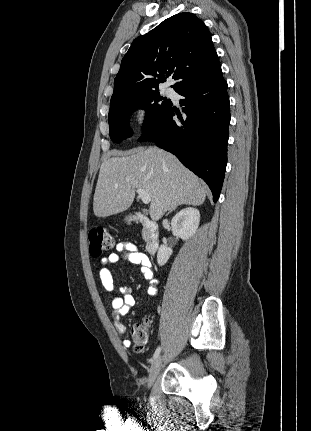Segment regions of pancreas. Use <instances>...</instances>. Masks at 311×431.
<instances>
[{"label":"pancreas","instance_id":"pancreas-1","mask_svg":"<svg viewBox=\"0 0 311 431\" xmlns=\"http://www.w3.org/2000/svg\"><path fill=\"white\" fill-rule=\"evenodd\" d=\"M142 237H143V239H145V241H148V239H149L147 229H145V227H143V229H142Z\"/></svg>","mask_w":311,"mask_h":431}]
</instances>
